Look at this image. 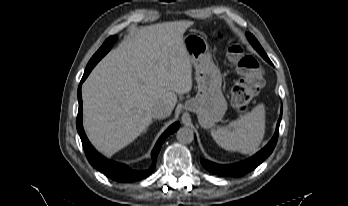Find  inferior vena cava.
<instances>
[{
    "instance_id": "inferior-vena-cava-1",
    "label": "inferior vena cava",
    "mask_w": 348,
    "mask_h": 206,
    "mask_svg": "<svg viewBox=\"0 0 348 206\" xmlns=\"http://www.w3.org/2000/svg\"><path fill=\"white\" fill-rule=\"evenodd\" d=\"M171 114V111L164 106H157L152 110V116L155 119H162L168 117Z\"/></svg>"
}]
</instances>
